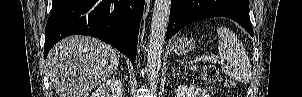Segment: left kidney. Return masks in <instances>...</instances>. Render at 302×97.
<instances>
[{"label":"left kidney","mask_w":302,"mask_h":97,"mask_svg":"<svg viewBox=\"0 0 302 97\" xmlns=\"http://www.w3.org/2000/svg\"><path fill=\"white\" fill-rule=\"evenodd\" d=\"M175 97H210L204 89L195 85H179L176 89Z\"/></svg>","instance_id":"1"}]
</instances>
